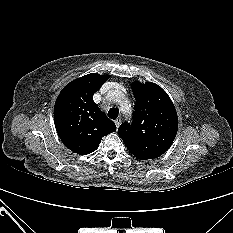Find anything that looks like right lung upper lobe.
<instances>
[{
  "label": "right lung upper lobe",
  "instance_id": "1",
  "mask_svg": "<svg viewBox=\"0 0 233 233\" xmlns=\"http://www.w3.org/2000/svg\"><path fill=\"white\" fill-rule=\"evenodd\" d=\"M110 75L87 74L67 84L54 106V122L64 145L78 154L95 151L103 136L116 130L94 103L93 95Z\"/></svg>",
  "mask_w": 233,
  "mask_h": 233
}]
</instances>
